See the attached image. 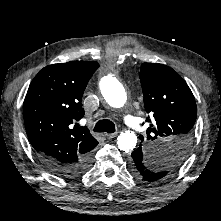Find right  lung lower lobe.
<instances>
[{
    "label": "right lung lower lobe",
    "instance_id": "obj_1",
    "mask_svg": "<svg viewBox=\"0 0 221 221\" xmlns=\"http://www.w3.org/2000/svg\"><path fill=\"white\" fill-rule=\"evenodd\" d=\"M38 158L50 172L60 177L78 176L91 166V155L72 163H64L43 155H38Z\"/></svg>",
    "mask_w": 221,
    "mask_h": 221
}]
</instances>
